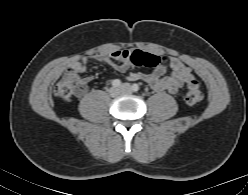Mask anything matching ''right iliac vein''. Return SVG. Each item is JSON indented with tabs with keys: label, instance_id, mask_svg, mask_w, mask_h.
I'll return each instance as SVG.
<instances>
[{
	"label": "right iliac vein",
	"instance_id": "right-iliac-vein-1",
	"mask_svg": "<svg viewBox=\"0 0 248 195\" xmlns=\"http://www.w3.org/2000/svg\"><path fill=\"white\" fill-rule=\"evenodd\" d=\"M120 93H121V90H120V88H118V87H111V88L109 89V94H110L112 97H116V96H118Z\"/></svg>",
	"mask_w": 248,
	"mask_h": 195
}]
</instances>
